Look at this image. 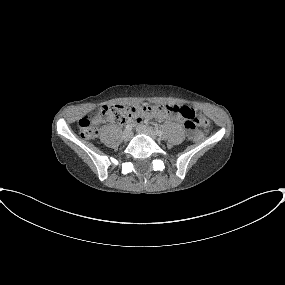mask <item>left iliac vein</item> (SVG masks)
<instances>
[{
  "instance_id": "1",
  "label": "left iliac vein",
  "mask_w": 285,
  "mask_h": 285,
  "mask_svg": "<svg viewBox=\"0 0 285 285\" xmlns=\"http://www.w3.org/2000/svg\"><path fill=\"white\" fill-rule=\"evenodd\" d=\"M136 131L141 133V134L148 135V136H150L153 139L156 138V135H155L154 131L150 127L141 125V126H138L136 128Z\"/></svg>"
}]
</instances>
